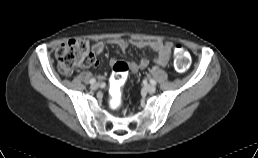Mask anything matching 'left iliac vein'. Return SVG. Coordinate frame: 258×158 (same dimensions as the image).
I'll return each instance as SVG.
<instances>
[{
	"label": "left iliac vein",
	"mask_w": 258,
	"mask_h": 158,
	"mask_svg": "<svg viewBox=\"0 0 258 158\" xmlns=\"http://www.w3.org/2000/svg\"><path fill=\"white\" fill-rule=\"evenodd\" d=\"M145 89L149 92V93H154L156 91V86L153 84H149L145 86Z\"/></svg>",
	"instance_id": "1"
}]
</instances>
